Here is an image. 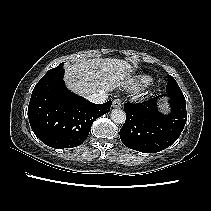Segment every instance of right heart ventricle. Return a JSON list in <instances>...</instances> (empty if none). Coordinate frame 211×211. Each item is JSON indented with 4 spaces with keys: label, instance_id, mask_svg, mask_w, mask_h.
I'll return each mask as SVG.
<instances>
[{
    "label": "right heart ventricle",
    "instance_id": "1",
    "mask_svg": "<svg viewBox=\"0 0 211 211\" xmlns=\"http://www.w3.org/2000/svg\"><path fill=\"white\" fill-rule=\"evenodd\" d=\"M152 77L149 75H139L130 80V87L132 89H140L152 82Z\"/></svg>",
    "mask_w": 211,
    "mask_h": 211
}]
</instances>
